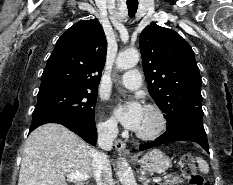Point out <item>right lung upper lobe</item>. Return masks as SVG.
Here are the masks:
<instances>
[{
	"label": "right lung upper lobe",
	"instance_id": "right-lung-upper-lobe-1",
	"mask_svg": "<svg viewBox=\"0 0 233 185\" xmlns=\"http://www.w3.org/2000/svg\"><path fill=\"white\" fill-rule=\"evenodd\" d=\"M106 51L107 40L99 21L77 22L58 39L39 90L62 87L97 91Z\"/></svg>",
	"mask_w": 233,
	"mask_h": 185
}]
</instances>
